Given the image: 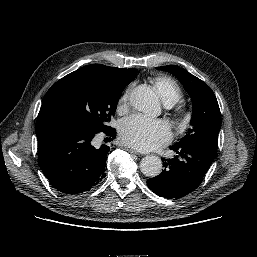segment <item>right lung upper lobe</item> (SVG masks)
<instances>
[{
	"label": "right lung upper lobe",
	"mask_w": 257,
	"mask_h": 257,
	"mask_svg": "<svg viewBox=\"0 0 257 257\" xmlns=\"http://www.w3.org/2000/svg\"><path fill=\"white\" fill-rule=\"evenodd\" d=\"M88 69L99 70V71H101L107 75H111V76H118V75H120V73L123 71L124 68L120 69V68H116V67L104 66L101 64H92V65L84 66V67L80 68L79 70H88ZM49 128H50V126L47 125L43 121L42 110H40L38 118H37V122H36L37 137L40 136L43 132H45Z\"/></svg>",
	"instance_id": "cb5924a9"
}]
</instances>
